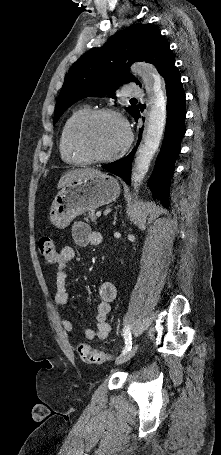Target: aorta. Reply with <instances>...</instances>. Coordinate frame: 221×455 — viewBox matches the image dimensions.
Listing matches in <instances>:
<instances>
[{
    "label": "aorta",
    "instance_id": "1",
    "mask_svg": "<svg viewBox=\"0 0 221 455\" xmlns=\"http://www.w3.org/2000/svg\"><path fill=\"white\" fill-rule=\"evenodd\" d=\"M138 75L149 95V113L146 118L142 141L137 150L131 173V181L136 193L148 172L150 163L161 143L166 124V99L162 81L156 68L148 63H140L132 68ZM135 193V195H136Z\"/></svg>",
    "mask_w": 221,
    "mask_h": 455
}]
</instances>
